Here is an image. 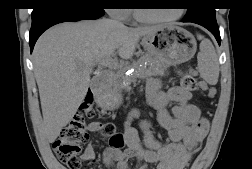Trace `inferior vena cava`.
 Masks as SVG:
<instances>
[{"label": "inferior vena cava", "mask_w": 252, "mask_h": 169, "mask_svg": "<svg viewBox=\"0 0 252 169\" xmlns=\"http://www.w3.org/2000/svg\"><path fill=\"white\" fill-rule=\"evenodd\" d=\"M110 21H112L113 23H115V24H117L118 26H123V24L120 22V21H118V20H116L114 17H112V16H110V19H109Z\"/></svg>", "instance_id": "602c4592"}]
</instances>
